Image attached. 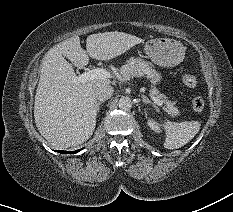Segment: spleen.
I'll use <instances>...</instances> for the list:
<instances>
[{"label":"spleen","mask_w":233,"mask_h":212,"mask_svg":"<svg viewBox=\"0 0 233 212\" xmlns=\"http://www.w3.org/2000/svg\"><path fill=\"white\" fill-rule=\"evenodd\" d=\"M166 139L164 147L166 149H177L186 145L199 132L201 123L198 121H185L175 123L165 121Z\"/></svg>","instance_id":"3e777b00"}]
</instances>
